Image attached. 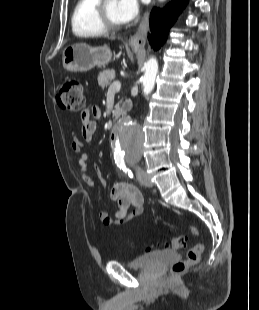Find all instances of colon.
Listing matches in <instances>:
<instances>
[{"mask_svg":"<svg viewBox=\"0 0 259 310\" xmlns=\"http://www.w3.org/2000/svg\"><path fill=\"white\" fill-rule=\"evenodd\" d=\"M56 100L59 107L63 110L71 112L83 111L85 101L80 81L74 78L66 79L56 94ZM190 230L193 234L197 233V230L194 227H190ZM186 242L187 237L180 235L170 241L169 247L179 249L184 247ZM202 251V244H194L190 246L187 250L186 258L175 262L172 266V271L174 273H181L189 266L196 264L200 259Z\"/></svg>","mask_w":259,"mask_h":310,"instance_id":"5ec220e1","label":"colon"}]
</instances>
